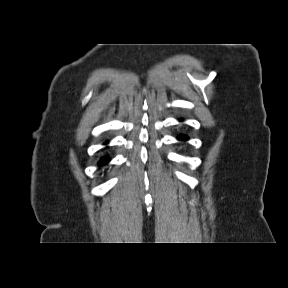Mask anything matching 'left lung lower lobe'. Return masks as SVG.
Segmentation results:
<instances>
[{"label":"left lung lower lobe","mask_w":288,"mask_h":288,"mask_svg":"<svg viewBox=\"0 0 288 288\" xmlns=\"http://www.w3.org/2000/svg\"><path fill=\"white\" fill-rule=\"evenodd\" d=\"M178 139L186 141V140H188V137L186 135H181L180 137H178Z\"/></svg>","instance_id":"left-lung-lower-lobe-1"}]
</instances>
